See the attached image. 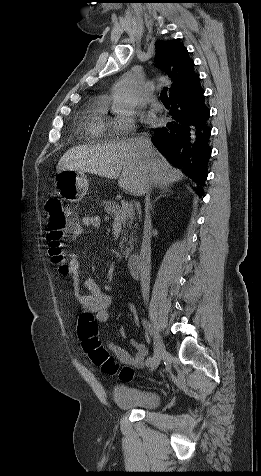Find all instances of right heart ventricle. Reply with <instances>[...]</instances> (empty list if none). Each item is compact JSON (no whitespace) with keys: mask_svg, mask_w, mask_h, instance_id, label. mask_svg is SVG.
Listing matches in <instances>:
<instances>
[{"mask_svg":"<svg viewBox=\"0 0 261 476\" xmlns=\"http://www.w3.org/2000/svg\"><path fill=\"white\" fill-rule=\"evenodd\" d=\"M85 129L90 139L100 140L109 134V121L105 116V107L102 101H95L89 108Z\"/></svg>","mask_w":261,"mask_h":476,"instance_id":"obj_1","label":"right heart ventricle"}]
</instances>
